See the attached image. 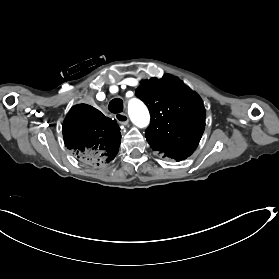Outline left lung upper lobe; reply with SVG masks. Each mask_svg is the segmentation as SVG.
Segmentation results:
<instances>
[{
  "mask_svg": "<svg viewBox=\"0 0 279 279\" xmlns=\"http://www.w3.org/2000/svg\"><path fill=\"white\" fill-rule=\"evenodd\" d=\"M136 96L151 114L145 134L150 146L172 159L190 156L205 128L206 114L201 99L171 75L141 82Z\"/></svg>",
  "mask_w": 279,
  "mask_h": 279,
  "instance_id": "obj_1",
  "label": "left lung upper lobe"
}]
</instances>
